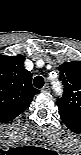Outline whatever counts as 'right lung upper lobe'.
I'll return each mask as SVG.
<instances>
[{
    "instance_id": "cb5924a9",
    "label": "right lung upper lobe",
    "mask_w": 81,
    "mask_h": 155,
    "mask_svg": "<svg viewBox=\"0 0 81 155\" xmlns=\"http://www.w3.org/2000/svg\"><path fill=\"white\" fill-rule=\"evenodd\" d=\"M25 57H0V121L20 115L40 91L32 86V74L24 67Z\"/></svg>"
}]
</instances>
